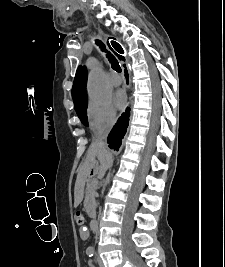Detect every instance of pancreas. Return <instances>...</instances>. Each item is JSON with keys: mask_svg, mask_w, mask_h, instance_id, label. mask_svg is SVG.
I'll list each match as a JSON object with an SVG mask.
<instances>
[{"mask_svg": "<svg viewBox=\"0 0 225 267\" xmlns=\"http://www.w3.org/2000/svg\"><path fill=\"white\" fill-rule=\"evenodd\" d=\"M94 190L95 188L93 185L88 186L84 200V208L90 217L95 215Z\"/></svg>", "mask_w": 225, "mask_h": 267, "instance_id": "pancreas-1", "label": "pancreas"}]
</instances>
